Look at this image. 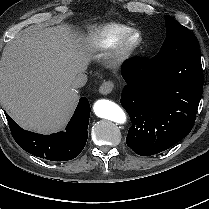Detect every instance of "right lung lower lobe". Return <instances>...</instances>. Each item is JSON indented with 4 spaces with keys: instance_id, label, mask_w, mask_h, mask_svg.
Here are the masks:
<instances>
[{
    "instance_id": "right-lung-lower-lobe-1",
    "label": "right lung lower lobe",
    "mask_w": 209,
    "mask_h": 209,
    "mask_svg": "<svg viewBox=\"0 0 209 209\" xmlns=\"http://www.w3.org/2000/svg\"><path fill=\"white\" fill-rule=\"evenodd\" d=\"M90 110L87 98L81 97L66 131L51 135L25 131L7 114L6 118L14 140L26 152L50 161H67L74 159L85 147Z\"/></svg>"
}]
</instances>
